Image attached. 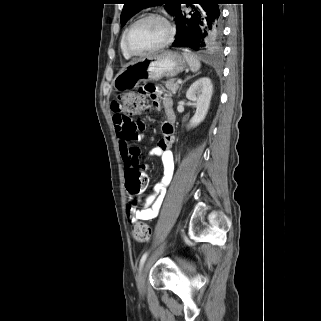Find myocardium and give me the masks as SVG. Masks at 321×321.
I'll return each mask as SVG.
<instances>
[{
  "mask_svg": "<svg viewBox=\"0 0 321 321\" xmlns=\"http://www.w3.org/2000/svg\"><path fill=\"white\" fill-rule=\"evenodd\" d=\"M151 18L158 19L164 23L166 30H167L166 38L159 45H157L153 48H150L146 51H143V52L132 51L128 46V36H129L130 31L141 21L146 20V19H151ZM175 35H176L175 27L173 26L171 21L165 15L158 13V12H148V13L141 15L139 18H137L135 21H133L128 26V28L125 30V32L123 34V47H124V50L127 52V54L130 55L131 57H141V56L152 54V53H155V52L165 49L166 47H168L169 45H171L173 43V41L175 39Z\"/></svg>",
  "mask_w": 321,
  "mask_h": 321,
  "instance_id": "myocardium-1",
  "label": "myocardium"
}]
</instances>
